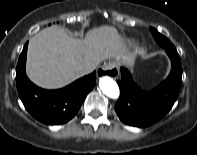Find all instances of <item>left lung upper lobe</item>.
<instances>
[{
  "label": "left lung upper lobe",
  "mask_w": 197,
  "mask_h": 155,
  "mask_svg": "<svg viewBox=\"0 0 197 155\" xmlns=\"http://www.w3.org/2000/svg\"><path fill=\"white\" fill-rule=\"evenodd\" d=\"M152 35L154 36L156 42L164 49H175L173 44L162 34H160L156 29L150 28Z\"/></svg>",
  "instance_id": "left-lung-upper-lobe-1"
}]
</instances>
